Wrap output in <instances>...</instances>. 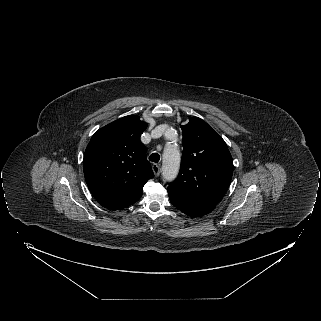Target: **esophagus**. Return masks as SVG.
Listing matches in <instances>:
<instances>
[{"instance_id":"esophagus-1","label":"esophagus","mask_w":321,"mask_h":321,"mask_svg":"<svg viewBox=\"0 0 321 321\" xmlns=\"http://www.w3.org/2000/svg\"><path fill=\"white\" fill-rule=\"evenodd\" d=\"M152 170L154 172V175L158 177L160 175V166L158 164L152 165Z\"/></svg>"}]
</instances>
